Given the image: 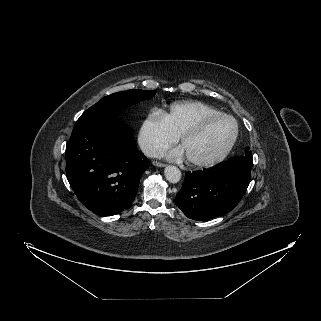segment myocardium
Here are the masks:
<instances>
[{
  "mask_svg": "<svg viewBox=\"0 0 321 321\" xmlns=\"http://www.w3.org/2000/svg\"><path fill=\"white\" fill-rule=\"evenodd\" d=\"M221 118L228 119V120L232 121V123L234 125V131H233L231 139L229 140L227 145L224 147V149L216 157H214L210 160L203 161V160H196V159H192V158H187L189 164L192 165L193 167L209 168V167H213V166L219 164L220 162H222L228 156V154L231 152L232 148L234 147V145L236 143V140H237L238 134H239L238 122L233 116L225 114V113L212 114V115H208V116L201 118L200 120H198L197 122H195L191 126L187 127L178 136V140H179L180 144H182L186 138L198 133L206 124H208L209 122H211L213 120L221 119Z\"/></svg>",
  "mask_w": 321,
  "mask_h": 321,
  "instance_id": "1",
  "label": "myocardium"
}]
</instances>
